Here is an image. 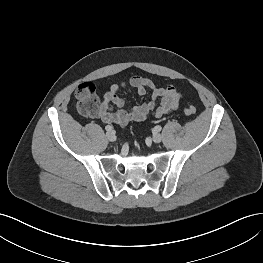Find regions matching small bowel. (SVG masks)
Returning <instances> with one entry per match:
<instances>
[{"instance_id":"c3829d8e","label":"small bowel","mask_w":263,"mask_h":263,"mask_svg":"<svg viewBox=\"0 0 263 263\" xmlns=\"http://www.w3.org/2000/svg\"><path fill=\"white\" fill-rule=\"evenodd\" d=\"M127 86L133 88L138 95H145L150 91L151 101L128 108L126 99L120 94ZM180 100L181 94L174 86L158 87L148 78L133 76L128 82L112 84L90 116L105 123L127 125L143 121L149 116L161 118L175 111Z\"/></svg>"}]
</instances>
